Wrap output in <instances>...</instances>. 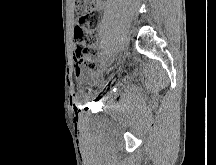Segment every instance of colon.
Instances as JSON below:
<instances>
[{
  "instance_id": "5ec220e1",
  "label": "colon",
  "mask_w": 216,
  "mask_h": 165,
  "mask_svg": "<svg viewBox=\"0 0 216 165\" xmlns=\"http://www.w3.org/2000/svg\"><path fill=\"white\" fill-rule=\"evenodd\" d=\"M102 4L103 0H75L78 20L74 30V58L78 67L89 70L98 67L95 44L100 22L99 8Z\"/></svg>"
}]
</instances>
